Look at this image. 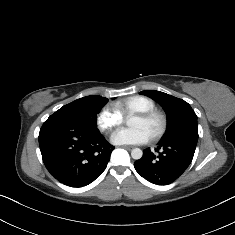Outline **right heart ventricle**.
Returning <instances> with one entry per match:
<instances>
[{
  "label": "right heart ventricle",
  "mask_w": 235,
  "mask_h": 235,
  "mask_svg": "<svg viewBox=\"0 0 235 235\" xmlns=\"http://www.w3.org/2000/svg\"><path fill=\"white\" fill-rule=\"evenodd\" d=\"M117 111L122 115H129L131 113H142L154 109L155 102L146 96L134 95L115 103Z\"/></svg>",
  "instance_id": "right-heart-ventricle-1"
}]
</instances>
